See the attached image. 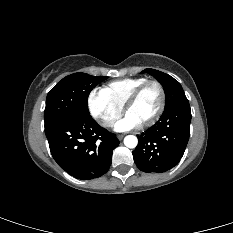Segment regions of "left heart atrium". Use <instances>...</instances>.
<instances>
[{
  "mask_svg": "<svg viewBox=\"0 0 233 233\" xmlns=\"http://www.w3.org/2000/svg\"><path fill=\"white\" fill-rule=\"evenodd\" d=\"M139 122L130 114H126L122 119H120L114 126L116 131H128L139 126Z\"/></svg>",
  "mask_w": 233,
  "mask_h": 233,
  "instance_id": "obj_1",
  "label": "left heart atrium"
}]
</instances>
